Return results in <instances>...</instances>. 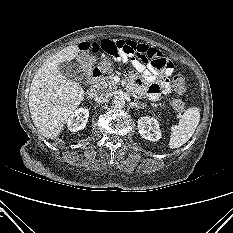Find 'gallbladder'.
<instances>
[{
	"instance_id": "1",
	"label": "gallbladder",
	"mask_w": 233,
	"mask_h": 233,
	"mask_svg": "<svg viewBox=\"0 0 233 233\" xmlns=\"http://www.w3.org/2000/svg\"><path fill=\"white\" fill-rule=\"evenodd\" d=\"M58 70L67 79L77 83H83L86 79V70L75 62H63L58 66Z\"/></svg>"
}]
</instances>
